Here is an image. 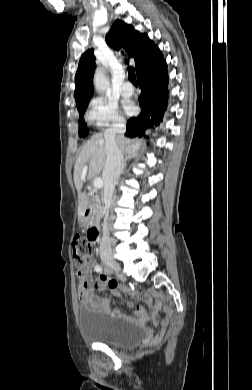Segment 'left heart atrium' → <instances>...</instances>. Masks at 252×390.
<instances>
[{
    "label": "left heart atrium",
    "mask_w": 252,
    "mask_h": 390,
    "mask_svg": "<svg viewBox=\"0 0 252 390\" xmlns=\"http://www.w3.org/2000/svg\"><path fill=\"white\" fill-rule=\"evenodd\" d=\"M125 109H126L127 113H129V114H132L134 112V110H135L133 104H131L129 102H127L125 104Z\"/></svg>",
    "instance_id": "left-heart-atrium-1"
}]
</instances>
